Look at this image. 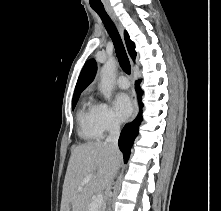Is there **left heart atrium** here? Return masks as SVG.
<instances>
[{
    "mask_svg": "<svg viewBox=\"0 0 221 211\" xmlns=\"http://www.w3.org/2000/svg\"><path fill=\"white\" fill-rule=\"evenodd\" d=\"M114 109L120 119H126L133 109L129 96L125 93L117 94L114 100Z\"/></svg>",
    "mask_w": 221,
    "mask_h": 211,
    "instance_id": "39dd6f15",
    "label": "left heart atrium"
}]
</instances>
